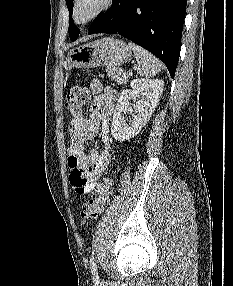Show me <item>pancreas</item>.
Returning <instances> with one entry per match:
<instances>
[{
    "mask_svg": "<svg viewBox=\"0 0 233 286\" xmlns=\"http://www.w3.org/2000/svg\"><path fill=\"white\" fill-rule=\"evenodd\" d=\"M108 76L111 77L118 85H122L127 82L128 77L124 76V70L121 68H108Z\"/></svg>",
    "mask_w": 233,
    "mask_h": 286,
    "instance_id": "cf45deb5",
    "label": "pancreas"
}]
</instances>
